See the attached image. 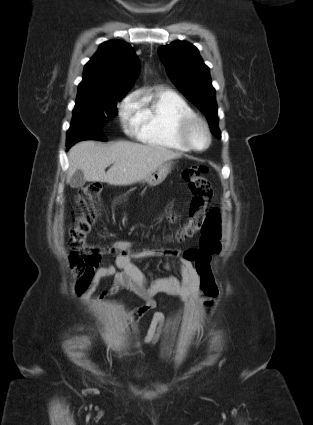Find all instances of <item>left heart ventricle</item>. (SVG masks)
I'll return each mask as SVG.
<instances>
[{"instance_id": "b2bd125f", "label": "left heart ventricle", "mask_w": 313, "mask_h": 425, "mask_svg": "<svg viewBox=\"0 0 313 425\" xmlns=\"http://www.w3.org/2000/svg\"><path fill=\"white\" fill-rule=\"evenodd\" d=\"M191 140L197 147H204L207 139L204 130L200 126H196L191 132Z\"/></svg>"}]
</instances>
